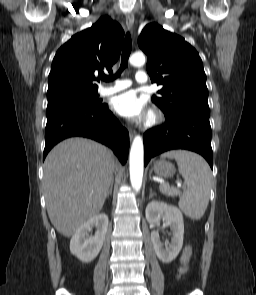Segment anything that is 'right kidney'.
I'll use <instances>...</instances> for the list:
<instances>
[{
  "instance_id": "right-kidney-1",
  "label": "right kidney",
  "mask_w": 256,
  "mask_h": 295,
  "mask_svg": "<svg viewBox=\"0 0 256 295\" xmlns=\"http://www.w3.org/2000/svg\"><path fill=\"white\" fill-rule=\"evenodd\" d=\"M108 216L101 213L83 223L74 233L70 241V251L82 262H91L99 254L108 228ZM96 228L94 236L89 232Z\"/></svg>"
}]
</instances>
